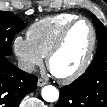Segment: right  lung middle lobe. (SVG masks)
<instances>
[{
    "mask_svg": "<svg viewBox=\"0 0 107 107\" xmlns=\"http://www.w3.org/2000/svg\"><path fill=\"white\" fill-rule=\"evenodd\" d=\"M19 17L12 12L0 11V55L12 54L11 41L15 34L26 27Z\"/></svg>",
    "mask_w": 107,
    "mask_h": 107,
    "instance_id": "obj_1",
    "label": "right lung middle lobe"
}]
</instances>
